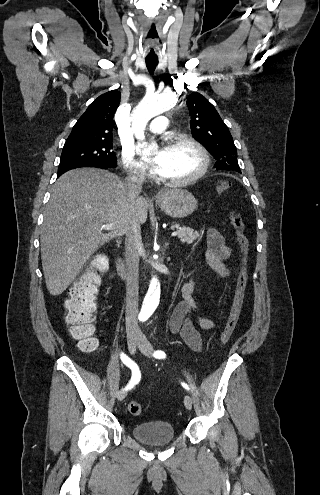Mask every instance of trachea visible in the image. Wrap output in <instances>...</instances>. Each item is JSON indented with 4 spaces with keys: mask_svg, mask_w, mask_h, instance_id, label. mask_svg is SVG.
I'll list each match as a JSON object with an SVG mask.
<instances>
[{
    "mask_svg": "<svg viewBox=\"0 0 320 495\" xmlns=\"http://www.w3.org/2000/svg\"><path fill=\"white\" fill-rule=\"evenodd\" d=\"M157 64H158L157 60H146V66L148 68V71L151 73L154 72Z\"/></svg>",
    "mask_w": 320,
    "mask_h": 495,
    "instance_id": "3493384b",
    "label": "trachea"
}]
</instances>
